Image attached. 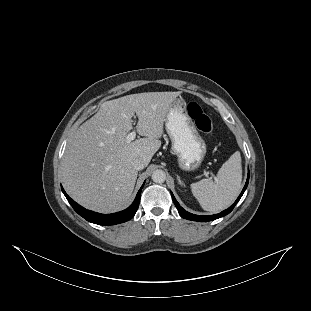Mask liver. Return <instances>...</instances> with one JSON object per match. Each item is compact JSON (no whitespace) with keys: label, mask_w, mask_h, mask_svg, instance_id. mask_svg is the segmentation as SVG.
Returning a JSON list of instances; mask_svg holds the SVG:
<instances>
[{"label":"liver","mask_w":311,"mask_h":311,"mask_svg":"<svg viewBox=\"0 0 311 311\" xmlns=\"http://www.w3.org/2000/svg\"><path fill=\"white\" fill-rule=\"evenodd\" d=\"M181 94L144 92L104 102L67 145L61 167L67 193L97 212L124 209L138 176L132 162L141 158L149 165L161 147L169 109ZM135 115L144 138L128 141Z\"/></svg>","instance_id":"liver-1"}]
</instances>
